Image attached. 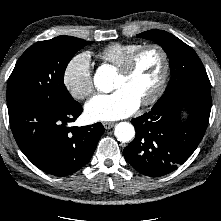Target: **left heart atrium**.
Instances as JSON below:
<instances>
[{
  "label": "left heart atrium",
  "mask_w": 221,
  "mask_h": 221,
  "mask_svg": "<svg viewBox=\"0 0 221 221\" xmlns=\"http://www.w3.org/2000/svg\"><path fill=\"white\" fill-rule=\"evenodd\" d=\"M140 102L125 89L110 94H97L85 106V114L92 121H112L131 115Z\"/></svg>",
  "instance_id": "1"
}]
</instances>
